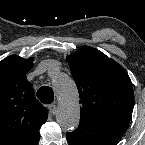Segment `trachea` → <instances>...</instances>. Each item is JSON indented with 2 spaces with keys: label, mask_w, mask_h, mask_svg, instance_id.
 Returning <instances> with one entry per match:
<instances>
[{
  "label": "trachea",
  "mask_w": 145,
  "mask_h": 145,
  "mask_svg": "<svg viewBox=\"0 0 145 145\" xmlns=\"http://www.w3.org/2000/svg\"><path fill=\"white\" fill-rule=\"evenodd\" d=\"M38 99L44 104H50L54 101L53 90L48 86H42L36 93Z\"/></svg>",
  "instance_id": "3493384b"
}]
</instances>
